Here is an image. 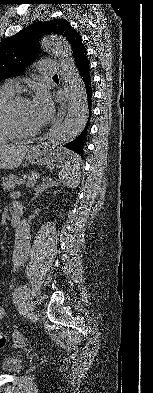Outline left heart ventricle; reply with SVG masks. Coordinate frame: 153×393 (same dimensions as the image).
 I'll return each instance as SVG.
<instances>
[{"instance_id": "b2bd125f", "label": "left heart ventricle", "mask_w": 153, "mask_h": 393, "mask_svg": "<svg viewBox=\"0 0 153 393\" xmlns=\"http://www.w3.org/2000/svg\"><path fill=\"white\" fill-rule=\"evenodd\" d=\"M31 108L29 103H24L18 107V121L22 130H34V120L31 115Z\"/></svg>"}]
</instances>
